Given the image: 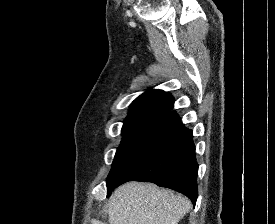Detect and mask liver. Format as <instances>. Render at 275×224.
I'll use <instances>...</instances> for the list:
<instances>
[{
  "instance_id": "1",
  "label": "liver",
  "mask_w": 275,
  "mask_h": 224,
  "mask_svg": "<svg viewBox=\"0 0 275 224\" xmlns=\"http://www.w3.org/2000/svg\"><path fill=\"white\" fill-rule=\"evenodd\" d=\"M189 201L152 183L128 182L110 198L109 224H178L189 211Z\"/></svg>"
}]
</instances>
